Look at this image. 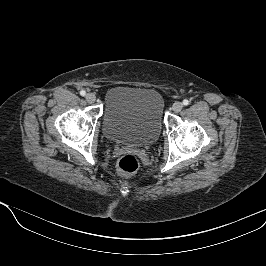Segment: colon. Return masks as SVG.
I'll list each match as a JSON object with an SVG mask.
<instances>
[{"mask_svg": "<svg viewBox=\"0 0 266 266\" xmlns=\"http://www.w3.org/2000/svg\"><path fill=\"white\" fill-rule=\"evenodd\" d=\"M139 158L134 153L122 155L117 162V172L122 176H130L139 168Z\"/></svg>", "mask_w": 266, "mask_h": 266, "instance_id": "colon-1", "label": "colon"}]
</instances>
